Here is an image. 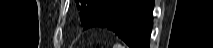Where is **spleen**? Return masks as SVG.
<instances>
[{
	"label": "spleen",
	"mask_w": 213,
	"mask_h": 48,
	"mask_svg": "<svg viewBox=\"0 0 213 48\" xmlns=\"http://www.w3.org/2000/svg\"><path fill=\"white\" fill-rule=\"evenodd\" d=\"M113 48H126L125 46L121 45L120 43H115Z\"/></svg>",
	"instance_id": "3e777b00"
}]
</instances>
